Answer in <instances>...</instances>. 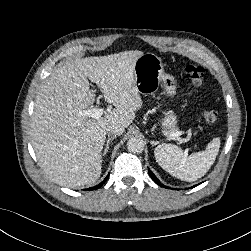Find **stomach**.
Wrapping results in <instances>:
<instances>
[{"mask_svg": "<svg viewBox=\"0 0 251 251\" xmlns=\"http://www.w3.org/2000/svg\"><path fill=\"white\" fill-rule=\"evenodd\" d=\"M135 85L140 94H154L159 86L164 93L173 98L176 95L177 83L174 76L165 74L160 57L153 53L140 56L134 68ZM177 123L176 115L172 110L164 113L162 126L165 131H171Z\"/></svg>", "mask_w": 251, "mask_h": 251, "instance_id": "stomach-1", "label": "stomach"}]
</instances>
